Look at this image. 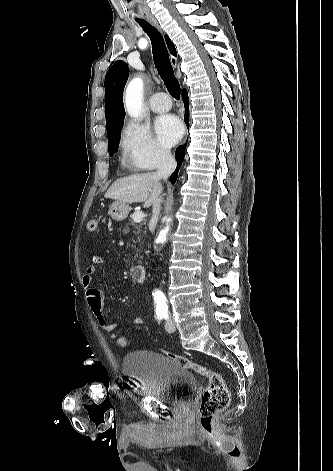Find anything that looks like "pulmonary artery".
<instances>
[{"mask_svg": "<svg viewBox=\"0 0 333 471\" xmlns=\"http://www.w3.org/2000/svg\"><path fill=\"white\" fill-rule=\"evenodd\" d=\"M172 103L168 95L158 92L150 98V107L156 113L166 112L171 109Z\"/></svg>", "mask_w": 333, "mask_h": 471, "instance_id": "obj_1", "label": "pulmonary artery"}]
</instances>
